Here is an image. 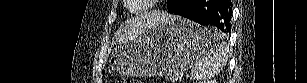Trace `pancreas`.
<instances>
[{
  "label": "pancreas",
  "instance_id": "pancreas-1",
  "mask_svg": "<svg viewBox=\"0 0 307 83\" xmlns=\"http://www.w3.org/2000/svg\"><path fill=\"white\" fill-rule=\"evenodd\" d=\"M172 82H173V83H175L176 81H175V80H173Z\"/></svg>",
  "mask_w": 307,
  "mask_h": 83
}]
</instances>
